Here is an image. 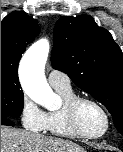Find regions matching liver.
<instances>
[{
	"mask_svg": "<svg viewBox=\"0 0 123 152\" xmlns=\"http://www.w3.org/2000/svg\"><path fill=\"white\" fill-rule=\"evenodd\" d=\"M1 152H85L67 140L1 126Z\"/></svg>",
	"mask_w": 123,
	"mask_h": 152,
	"instance_id": "1",
	"label": "liver"
}]
</instances>
